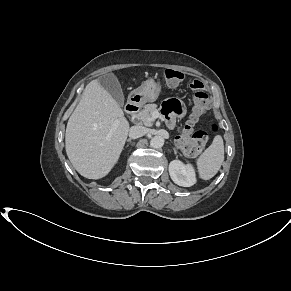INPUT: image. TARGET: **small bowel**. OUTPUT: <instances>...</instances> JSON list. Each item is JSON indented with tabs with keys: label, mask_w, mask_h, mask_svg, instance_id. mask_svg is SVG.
<instances>
[{
	"label": "small bowel",
	"mask_w": 291,
	"mask_h": 291,
	"mask_svg": "<svg viewBox=\"0 0 291 291\" xmlns=\"http://www.w3.org/2000/svg\"><path fill=\"white\" fill-rule=\"evenodd\" d=\"M182 112V105L177 100H170L166 103V110L165 115L169 122V124H172L174 121V115L179 114Z\"/></svg>",
	"instance_id": "1"
}]
</instances>
